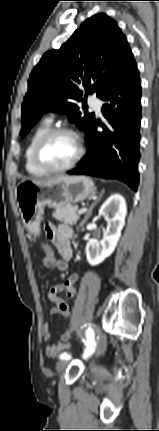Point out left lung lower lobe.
<instances>
[{"mask_svg": "<svg viewBox=\"0 0 159 431\" xmlns=\"http://www.w3.org/2000/svg\"><path fill=\"white\" fill-rule=\"evenodd\" d=\"M105 124L97 131L93 121L87 130V153L69 174L118 179L136 190L139 183L141 82L133 61L102 98Z\"/></svg>", "mask_w": 159, "mask_h": 431, "instance_id": "1", "label": "left lung lower lobe"}]
</instances>
